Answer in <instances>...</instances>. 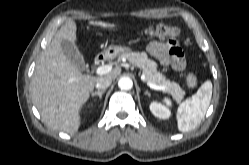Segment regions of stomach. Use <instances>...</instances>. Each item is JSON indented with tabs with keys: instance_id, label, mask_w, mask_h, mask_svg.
I'll return each mask as SVG.
<instances>
[{
	"instance_id": "obj_1",
	"label": "stomach",
	"mask_w": 249,
	"mask_h": 165,
	"mask_svg": "<svg viewBox=\"0 0 249 165\" xmlns=\"http://www.w3.org/2000/svg\"><path fill=\"white\" fill-rule=\"evenodd\" d=\"M129 51H130L129 47H125V46H121V45H111L102 52V56L105 59H112L118 55H121V54H123L125 52H129Z\"/></svg>"
}]
</instances>
